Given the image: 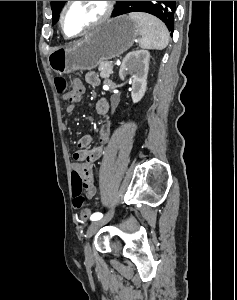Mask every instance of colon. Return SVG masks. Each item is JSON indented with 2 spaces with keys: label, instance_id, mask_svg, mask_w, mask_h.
I'll use <instances>...</instances> for the list:
<instances>
[{
  "label": "colon",
  "instance_id": "obj_1",
  "mask_svg": "<svg viewBox=\"0 0 237 300\" xmlns=\"http://www.w3.org/2000/svg\"><path fill=\"white\" fill-rule=\"evenodd\" d=\"M57 93L66 97L69 102L77 103L79 102L84 94V87H79L75 90H68V83L62 77H57L54 80ZM83 180L77 170L72 171V193H73V205L76 208L82 209V216L84 218L88 217L90 210L84 207L85 197L82 195Z\"/></svg>",
  "mask_w": 237,
  "mask_h": 300
}]
</instances>
